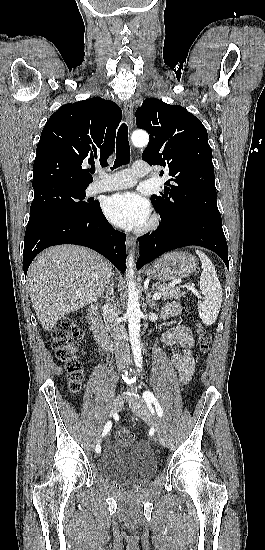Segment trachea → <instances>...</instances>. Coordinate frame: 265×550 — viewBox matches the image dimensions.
Returning <instances> with one entry per match:
<instances>
[{"mask_svg": "<svg viewBox=\"0 0 265 550\" xmlns=\"http://www.w3.org/2000/svg\"><path fill=\"white\" fill-rule=\"evenodd\" d=\"M130 160V146L128 141V127L125 123H122L116 138V160L111 170L120 167L121 165L128 164ZM91 173H95V169L91 170Z\"/></svg>", "mask_w": 265, "mask_h": 550, "instance_id": "3493384b", "label": "trachea"}]
</instances>
